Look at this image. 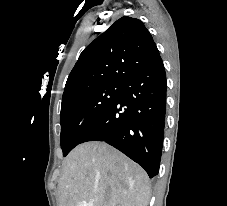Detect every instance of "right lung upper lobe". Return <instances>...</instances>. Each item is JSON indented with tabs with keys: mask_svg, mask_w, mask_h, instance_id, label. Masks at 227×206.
I'll return each mask as SVG.
<instances>
[{
	"mask_svg": "<svg viewBox=\"0 0 227 206\" xmlns=\"http://www.w3.org/2000/svg\"><path fill=\"white\" fill-rule=\"evenodd\" d=\"M160 58L150 32L139 19L124 16L80 54L67 79L63 99L105 83H122Z\"/></svg>",
	"mask_w": 227,
	"mask_h": 206,
	"instance_id": "1",
	"label": "right lung upper lobe"
}]
</instances>
